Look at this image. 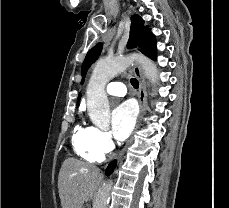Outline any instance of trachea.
Masks as SVG:
<instances>
[{"mask_svg":"<svg viewBox=\"0 0 229 208\" xmlns=\"http://www.w3.org/2000/svg\"><path fill=\"white\" fill-rule=\"evenodd\" d=\"M130 83L134 88H138L139 87V82L136 78H131L130 79Z\"/></svg>","mask_w":229,"mask_h":208,"instance_id":"trachea-1","label":"trachea"}]
</instances>
